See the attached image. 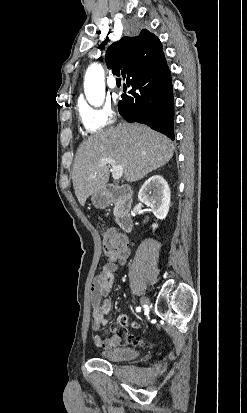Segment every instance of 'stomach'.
Here are the masks:
<instances>
[{"label": "stomach", "instance_id": "stomach-1", "mask_svg": "<svg viewBox=\"0 0 247 413\" xmlns=\"http://www.w3.org/2000/svg\"><path fill=\"white\" fill-rule=\"evenodd\" d=\"M91 200L96 209H105V207H108V204H110V194L103 188L100 192H94L91 196Z\"/></svg>", "mask_w": 247, "mask_h": 413}]
</instances>
